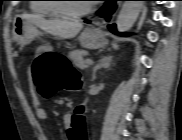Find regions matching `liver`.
Masks as SVG:
<instances>
[{
	"label": "liver",
	"mask_w": 182,
	"mask_h": 140,
	"mask_svg": "<svg viewBox=\"0 0 182 140\" xmlns=\"http://www.w3.org/2000/svg\"><path fill=\"white\" fill-rule=\"evenodd\" d=\"M22 17L43 31L64 39L75 37L83 27L82 23L78 21H65L60 19L46 20L40 15L30 14H24Z\"/></svg>",
	"instance_id": "liver-1"
}]
</instances>
